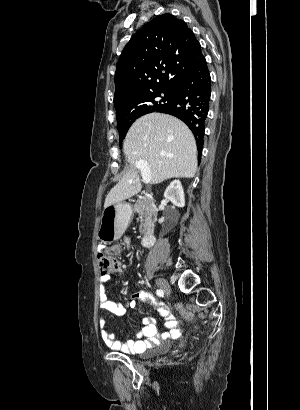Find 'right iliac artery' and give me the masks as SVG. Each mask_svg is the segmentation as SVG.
Segmentation results:
<instances>
[{
    "mask_svg": "<svg viewBox=\"0 0 300 410\" xmlns=\"http://www.w3.org/2000/svg\"><path fill=\"white\" fill-rule=\"evenodd\" d=\"M156 294H157L158 296H160V297H163V296H164V292H163V290H161V289H158V290L156 291Z\"/></svg>",
    "mask_w": 300,
    "mask_h": 410,
    "instance_id": "1",
    "label": "right iliac artery"
}]
</instances>
